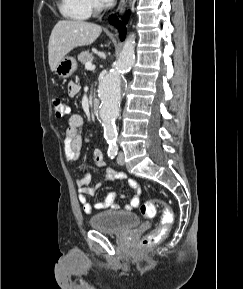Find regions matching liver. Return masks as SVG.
Masks as SVG:
<instances>
[{
  "instance_id": "6515ba94",
  "label": "liver",
  "mask_w": 243,
  "mask_h": 289,
  "mask_svg": "<svg viewBox=\"0 0 243 289\" xmlns=\"http://www.w3.org/2000/svg\"><path fill=\"white\" fill-rule=\"evenodd\" d=\"M99 25L77 20H61L54 26L48 44L51 71L74 48L92 44L101 34Z\"/></svg>"
}]
</instances>
